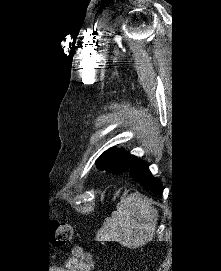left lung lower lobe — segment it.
<instances>
[{
    "mask_svg": "<svg viewBox=\"0 0 221 271\" xmlns=\"http://www.w3.org/2000/svg\"><path fill=\"white\" fill-rule=\"evenodd\" d=\"M127 171L130 172V176L133 179L143 184L152 192L161 193L163 191L161 183L151 175L148 164L145 161L134 157L131 166Z\"/></svg>",
    "mask_w": 221,
    "mask_h": 271,
    "instance_id": "0a47b994",
    "label": "left lung lower lobe"
}]
</instances>
